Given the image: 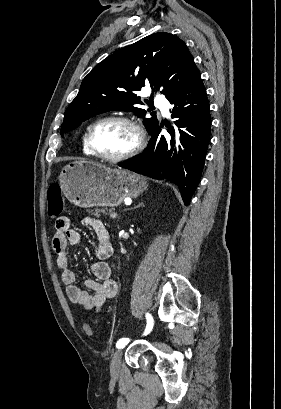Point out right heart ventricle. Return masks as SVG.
Segmentation results:
<instances>
[{
    "instance_id": "1",
    "label": "right heart ventricle",
    "mask_w": 281,
    "mask_h": 409,
    "mask_svg": "<svg viewBox=\"0 0 281 409\" xmlns=\"http://www.w3.org/2000/svg\"><path fill=\"white\" fill-rule=\"evenodd\" d=\"M94 124H95V122L90 123V124L87 126V128H86V130H85V133H84V135H83L82 151H83V153H84L85 155H87V156H92V155H93V154H92V151H91V149H90V146H89V136H90V133H91V130H92Z\"/></svg>"
}]
</instances>
